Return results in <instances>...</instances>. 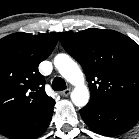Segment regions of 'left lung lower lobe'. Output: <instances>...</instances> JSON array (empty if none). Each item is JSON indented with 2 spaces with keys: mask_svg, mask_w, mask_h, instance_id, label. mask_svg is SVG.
Wrapping results in <instances>:
<instances>
[{
  "mask_svg": "<svg viewBox=\"0 0 139 139\" xmlns=\"http://www.w3.org/2000/svg\"><path fill=\"white\" fill-rule=\"evenodd\" d=\"M80 114L94 132L116 136L131 129L139 120V102L115 107H98L87 104Z\"/></svg>",
  "mask_w": 139,
  "mask_h": 139,
  "instance_id": "0a47b994",
  "label": "left lung lower lobe"
}]
</instances>
